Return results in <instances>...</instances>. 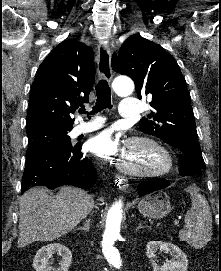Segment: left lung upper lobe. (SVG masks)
<instances>
[{
	"mask_svg": "<svg viewBox=\"0 0 221 271\" xmlns=\"http://www.w3.org/2000/svg\"><path fill=\"white\" fill-rule=\"evenodd\" d=\"M112 66L133 79L139 99L152 96L154 112L140 120V130L159 137L205 168L190 94L176 60L160 45L133 35L113 55Z\"/></svg>",
	"mask_w": 221,
	"mask_h": 271,
	"instance_id": "left-lung-upper-lobe-1",
	"label": "left lung upper lobe"
}]
</instances>
